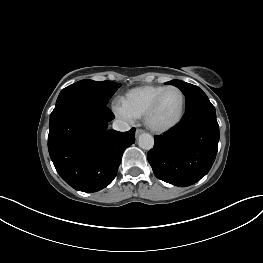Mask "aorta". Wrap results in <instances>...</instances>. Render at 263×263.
<instances>
[{
	"label": "aorta",
	"instance_id": "762f6f07",
	"mask_svg": "<svg viewBox=\"0 0 263 263\" xmlns=\"http://www.w3.org/2000/svg\"><path fill=\"white\" fill-rule=\"evenodd\" d=\"M138 145L142 149L150 150L154 146V138L148 133H143L139 136Z\"/></svg>",
	"mask_w": 263,
	"mask_h": 263
}]
</instances>
